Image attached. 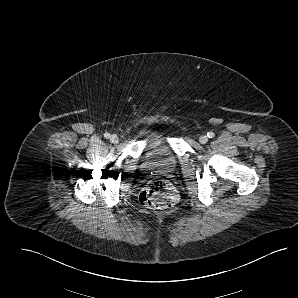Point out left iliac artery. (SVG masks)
<instances>
[{
    "label": "left iliac artery",
    "mask_w": 298,
    "mask_h": 298,
    "mask_svg": "<svg viewBox=\"0 0 298 298\" xmlns=\"http://www.w3.org/2000/svg\"><path fill=\"white\" fill-rule=\"evenodd\" d=\"M214 135H215V134H214L213 132H208V133H207L208 138H213Z\"/></svg>",
    "instance_id": "obj_1"
}]
</instances>
